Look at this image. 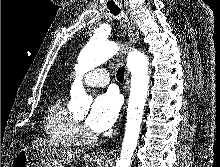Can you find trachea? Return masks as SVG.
<instances>
[{"label":"trachea","mask_w":220,"mask_h":167,"mask_svg":"<svg viewBox=\"0 0 220 167\" xmlns=\"http://www.w3.org/2000/svg\"><path fill=\"white\" fill-rule=\"evenodd\" d=\"M109 10H110V12L113 14V15H118L120 12H121V10L119 9V7H117V6H115V5H113V6H109ZM124 71H125V69H124V66H120L119 68H118V70H117V79H118V81L119 82H123V80H124Z\"/></svg>","instance_id":"3493384b"}]
</instances>
